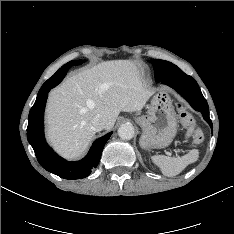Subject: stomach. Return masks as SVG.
Masks as SVG:
<instances>
[{
	"mask_svg": "<svg viewBox=\"0 0 234 234\" xmlns=\"http://www.w3.org/2000/svg\"><path fill=\"white\" fill-rule=\"evenodd\" d=\"M136 122L142 129L140 146L144 149L165 148L177 133V115L166 90H159L151 100L147 115Z\"/></svg>",
	"mask_w": 234,
	"mask_h": 234,
	"instance_id": "1",
	"label": "stomach"
}]
</instances>
